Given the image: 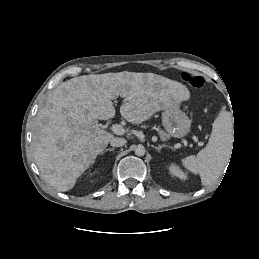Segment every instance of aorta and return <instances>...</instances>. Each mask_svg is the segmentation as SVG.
Masks as SVG:
<instances>
[{
  "instance_id": "aorta-1",
  "label": "aorta",
  "mask_w": 259,
  "mask_h": 259,
  "mask_svg": "<svg viewBox=\"0 0 259 259\" xmlns=\"http://www.w3.org/2000/svg\"><path fill=\"white\" fill-rule=\"evenodd\" d=\"M145 147L143 145H138L136 148H135V154L137 156H144L145 155Z\"/></svg>"
}]
</instances>
